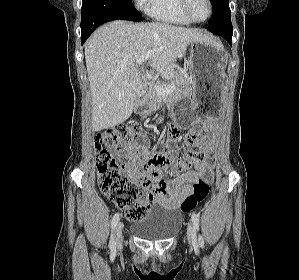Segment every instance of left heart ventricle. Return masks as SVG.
Wrapping results in <instances>:
<instances>
[{"label":"left heart ventricle","instance_id":"b2bd125f","mask_svg":"<svg viewBox=\"0 0 299 280\" xmlns=\"http://www.w3.org/2000/svg\"><path fill=\"white\" fill-rule=\"evenodd\" d=\"M190 12L197 20H204L208 15V4L206 0H190Z\"/></svg>","mask_w":299,"mask_h":280}]
</instances>
